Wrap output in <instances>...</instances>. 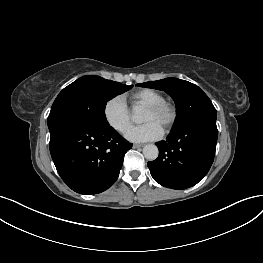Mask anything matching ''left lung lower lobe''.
Returning a JSON list of instances; mask_svg holds the SVG:
<instances>
[{"label": "left lung lower lobe", "mask_w": 263, "mask_h": 263, "mask_svg": "<svg viewBox=\"0 0 263 263\" xmlns=\"http://www.w3.org/2000/svg\"><path fill=\"white\" fill-rule=\"evenodd\" d=\"M216 120H201L172 130L165 141L156 143L159 156L147 163L154 180L172 189L197 184L209 171L215 155Z\"/></svg>", "instance_id": "left-lung-lower-lobe-1"}]
</instances>
